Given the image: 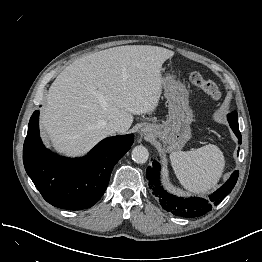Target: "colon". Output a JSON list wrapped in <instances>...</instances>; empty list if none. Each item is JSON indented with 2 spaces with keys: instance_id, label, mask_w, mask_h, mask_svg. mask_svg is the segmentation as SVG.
Listing matches in <instances>:
<instances>
[{
  "instance_id": "1",
  "label": "colon",
  "mask_w": 262,
  "mask_h": 262,
  "mask_svg": "<svg viewBox=\"0 0 262 262\" xmlns=\"http://www.w3.org/2000/svg\"><path fill=\"white\" fill-rule=\"evenodd\" d=\"M190 80L193 85L202 89L211 99L218 100L221 97L218 86L214 82L206 80L201 74L193 73Z\"/></svg>"
}]
</instances>
